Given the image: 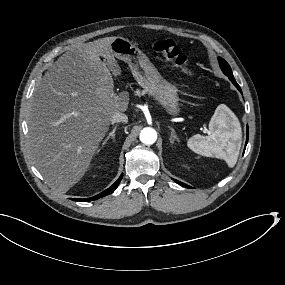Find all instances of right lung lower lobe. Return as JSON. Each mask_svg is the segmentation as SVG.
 <instances>
[{"label": "right lung lower lobe", "instance_id": "1", "mask_svg": "<svg viewBox=\"0 0 285 285\" xmlns=\"http://www.w3.org/2000/svg\"><path fill=\"white\" fill-rule=\"evenodd\" d=\"M122 177H123V174H121V176L118 178V180L112 186H110L108 189H106L105 191L101 192L100 194H98L94 197L86 198V199H72V200H74V201H92V200H96V199H99L101 197H104L106 195H109L118 187Z\"/></svg>", "mask_w": 285, "mask_h": 285}]
</instances>
